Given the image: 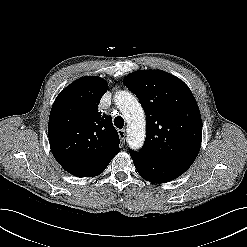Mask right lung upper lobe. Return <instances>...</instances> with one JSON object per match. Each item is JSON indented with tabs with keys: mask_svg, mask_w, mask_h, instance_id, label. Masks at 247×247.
Here are the masks:
<instances>
[{
	"mask_svg": "<svg viewBox=\"0 0 247 247\" xmlns=\"http://www.w3.org/2000/svg\"><path fill=\"white\" fill-rule=\"evenodd\" d=\"M107 89L104 79L83 77L54 101L48 124L49 143L65 170L89 168L119 152L120 139L112 119L98 110Z\"/></svg>",
	"mask_w": 247,
	"mask_h": 247,
	"instance_id": "1",
	"label": "right lung upper lobe"
}]
</instances>
